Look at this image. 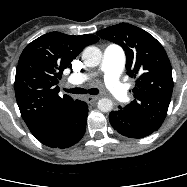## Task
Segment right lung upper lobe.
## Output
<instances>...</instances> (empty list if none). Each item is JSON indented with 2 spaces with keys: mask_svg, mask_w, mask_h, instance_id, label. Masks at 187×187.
<instances>
[{
  "mask_svg": "<svg viewBox=\"0 0 187 187\" xmlns=\"http://www.w3.org/2000/svg\"><path fill=\"white\" fill-rule=\"evenodd\" d=\"M98 40L92 34L50 32L23 50L16 69L15 95L22 118L34 136L51 127L78 101L58 95V79L86 46Z\"/></svg>",
  "mask_w": 187,
  "mask_h": 187,
  "instance_id": "cb5924a9",
  "label": "right lung upper lobe"
}]
</instances>
